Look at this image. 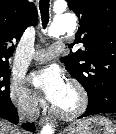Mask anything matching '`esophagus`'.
<instances>
[{
	"instance_id": "obj_1",
	"label": "esophagus",
	"mask_w": 116,
	"mask_h": 134,
	"mask_svg": "<svg viewBox=\"0 0 116 134\" xmlns=\"http://www.w3.org/2000/svg\"><path fill=\"white\" fill-rule=\"evenodd\" d=\"M48 120V117H41L40 120H39V124L40 125H43L46 121Z\"/></svg>"
}]
</instances>
